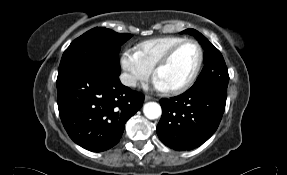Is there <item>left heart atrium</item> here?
<instances>
[{
  "instance_id": "1",
  "label": "left heart atrium",
  "mask_w": 287,
  "mask_h": 175,
  "mask_svg": "<svg viewBox=\"0 0 287 175\" xmlns=\"http://www.w3.org/2000/svg\"><path fill=\"white\" fill-rule=\"evenodd\" d=\"M154 84H155V87L157 89H159V90H166L165 85L158 78L155 79Z\"/></svg>"
}]
</instances>
